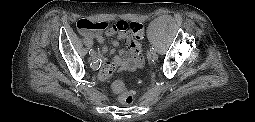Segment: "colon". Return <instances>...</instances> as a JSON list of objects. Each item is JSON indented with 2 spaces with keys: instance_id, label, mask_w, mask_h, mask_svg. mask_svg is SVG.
Masks as SVG:
<instances>
[{
  "instance_id": "colon-1",
  "label": "colon",
  "mask_w": 255,
  "mask_h": 122,
  "mask_svg": "<svg viewBox=\"0 0 255 122\" xmlns=\"http://www.w3.org/2000/svg\"><path fill=\"white\" fill-rule=\"evenodd\" d=\"M76 28L83 35L94 32L107 31L110 29L116 31H128L137 39H140L144 35L143 26L138 22L118 21L114 24H110L106 21H92L89 19H80L76 22ZM113 71V68L105 67L103 68L101 75L103 78H106L109 77L113 73ZM113 90L117 94L120 103L126 106H129L133 103L134 95L138 92L137 89L127 90L124 84L120 81H116L113 84Z\"/></svg>"
}]
</instances>
